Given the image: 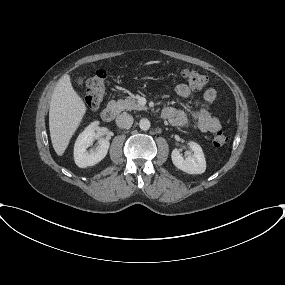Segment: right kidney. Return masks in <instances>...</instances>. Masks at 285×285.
<instances>
[{
  "mask_svg": "<svg viewBox=\"0 0 285 285\" xmlns=\"http://www.w3.org/2000/svg\"><path fill=\"white\" fill-rule=\"evenodd\" d=\"M99 124L98 121L92 122L78 136L74 146V160L78 167L85 168L94 166L105 158L109 149V141L102 139L96 150L87 151V148L92 145L96 136L95 128Z\"/></svg>",
  "mask_w": 285,
  "mask_h": 285,
  "instance_id": "1",
  "label": "right kidney"
}]
</instances>
